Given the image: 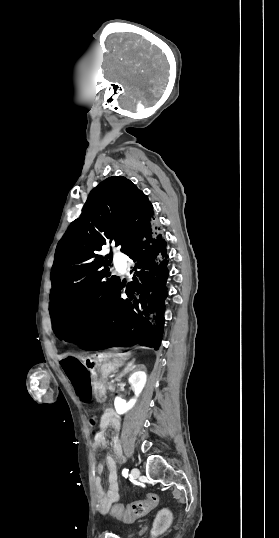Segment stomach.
I'll use <instances>...</instances> for the list:
<instances>
[{"mask_svg": "<svg viewBox=\"0 0 279 538\" xmlns=\"http://www.w3.org/2000/svg\"><path fill=\"white\" fill-rule=\"evenodd\" d=\"M126 360H128V356L123 353H97L96 362L97 364H102L101 370L103 373L93 382L94 394H96L98 400L103 401L107 397L105 384L110 380L108 374H116L118 366L124 364Z\"/></svg>", "mask_w": 279, "mask_h": 538, "instance_id": "0dacf381", "label": "stomach"}]
</instances>
